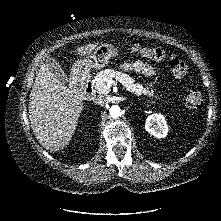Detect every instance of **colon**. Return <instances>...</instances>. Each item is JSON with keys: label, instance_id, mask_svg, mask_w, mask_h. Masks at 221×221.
Wrapping results in <instances>:
<instances>
[{"label": "colon", "instance_id": "1", "mask_svg": "<svg viewBox=\"0 0 221 221\" xmlns=\"http://www.w3.org/2000/svg\"><path fill=\"white\" fill-rule=\"evenodd\" d=\"M128 50L131 53H140L144 57L156 62H168L171 72L175 77L181 78L187 73V63L181 57L173 53H168L164 50L157 48L142 47L137 42H132L129 45ZM202 103L203 96L196 89L191 90L185 98V104L189 108H199L202 105Z\"/></svg>", "mask_w": 221, "mask_h": 221}]
</instances>
